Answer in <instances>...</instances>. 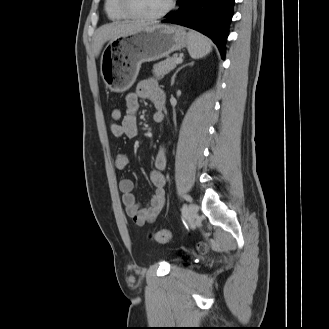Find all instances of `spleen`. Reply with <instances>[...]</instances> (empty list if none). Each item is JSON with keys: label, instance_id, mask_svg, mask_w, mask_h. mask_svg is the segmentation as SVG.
Listing matches in <instances>:
<instances>
[{"label": "spleen", "instance_id": "spleen-1", "mask_svg": "<svg viewBox=\"0 0 329 329\" xmlns=\"http://www.w3.org/2000/svg\"><path fill=\"white\" fill-rule=\"evenodd\" d=\"M187 36L188 52L192 58H203L212 51L211 42L204 35L196 31H190Z\"/></svg>", "mask_w": 329, "mask_h": 329}]
</instances>
